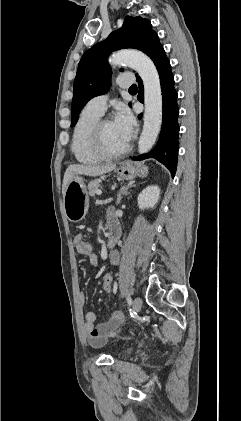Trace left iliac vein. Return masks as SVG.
<instances>
[{
  "label": "left iliac vein",
  "mask_w": 241,
  "mask_h": 421,
  "mask_svg": "<svg viewBox=\"0 0 241 421\" xmlns=\"http://www.w3.org/2000/svg\"><path fill=\"white\" fill-rule=\"evenodd\" d=\"M142 307V300L140 297H136L133 301V310L135 312H139L141 310Z\"/></svg>",
  "instance_id": "4c4485c4"
}]
</instances>
